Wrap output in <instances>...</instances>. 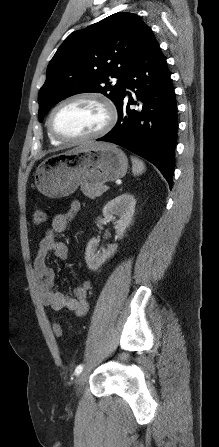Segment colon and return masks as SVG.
<instances>
[{
	"instance_id": "1",
	"label": "colon",
	"mask_w": 219,
	"mask_h": 447,
	"mask_svg": "<svg viewBox=\"0 0 219 447\" xmlns=\"http://www.w3.org/2000/svg\"><path fill=\"white\" fill-rule=\"evenodd\" d=\"M33 222L36 225L43 224L45 222V215L40 208H35L33 212ZM53 332L57 337H61L63 335V329L60 323L53 324Z\"/></svg>"
}]
</instances>
